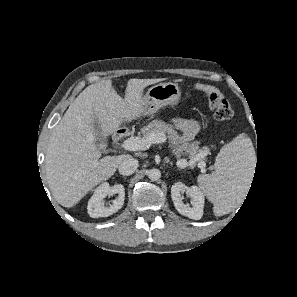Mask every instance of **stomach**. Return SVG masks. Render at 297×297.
<instances>
[{
	"instance_id": "obj_1",
	"label": "stomach",
	"mask_w": 297,
	"mask_h": 297,
	"mask_svg": "<svg viewBox=\"0 0 297 297\" xmlns=\"http://www.w3.org/2000/svg\"><path fill=\"white\" fill-rule=\"evenodd\" d=\"M180 98L181 89L178 84L165 82L154 85L144 95L141 116L154 115L160 108L166 105H176Z\"/></svg>"
}]
</instances>
